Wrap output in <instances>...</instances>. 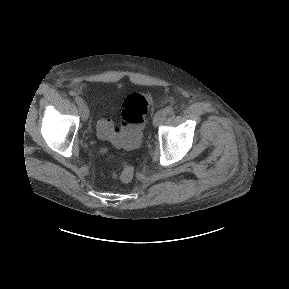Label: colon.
<instances>
[{
    "mask_svg": "<svg viewBox=\"0 0 289 289\" xmlns=\"http://www.w3.org/2000/svg\"><path fill=\"white\" fill-rule=\"evenodd\" d=\"M153 97L149 94L133 93L122 104V123L114 127L110 120H100L97 131L101 138L110 140L127 150H134L140 145L145 118L149 112ZM124 182H129L133 177V169L124 166L119 172Z\"/></svg>",
    "mask_w": 289,
    "mask_h": 289,
    "instance_id": "colon-1",
    "label": "colon"
}]
</instances>
